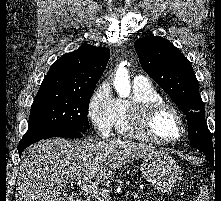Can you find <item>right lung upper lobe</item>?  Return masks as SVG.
<instances>
[{
    "mask_svg": "<svg viewBox=\"0 0 221 201\" xmlns=\"http://www.w3.org/2000/svg\"><path fill=\"white\" fill-rule=\"evenodd\" d=\"M109 58L108 48L84 43L78 50L63 55L51 66L39 90L92 91Z\"/></svg>",
    "mask_w": 221,
    "mask_h": 201,
    "instance_id": "1",
    "label": "right lung upper lobe"
}]
</instances>
